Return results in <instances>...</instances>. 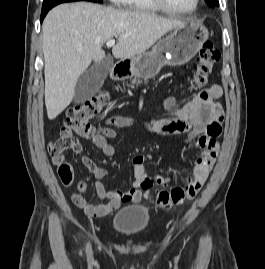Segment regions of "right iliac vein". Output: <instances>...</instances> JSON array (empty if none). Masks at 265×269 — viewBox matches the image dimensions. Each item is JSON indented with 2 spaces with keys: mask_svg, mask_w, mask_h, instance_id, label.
Instances as JSON below:
<instances>
[{
  "mask_svg": "<svg viewBox=\"0 0 265 269\" xmlns=\"http://www.w3.org/2000/svg\"><path fill=\"white\" fill-rule=\"evenodd\" d=\"M87 255H88V256L91 255V247H90V246L87 247Z\"/></svg>",
  "mask_w": 265,
  "mask_h": 269,
  "instance_id": "63e3f726",
  "label": "right iliac vein"
}]
</instances>
